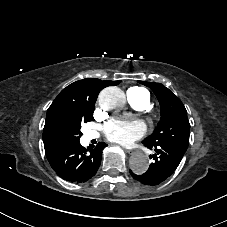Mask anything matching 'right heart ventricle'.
<instances>
[{
    "label": "right heart ventricle",
    "instance_id": "obj_1",
    "mask_svg": "<svg viewBox=\"0 0 227 227\" xmlns=\"http://www.w3.org/2000/svg\"><path fill=\"white\" fill-rule=\"evenodd\" d=\"M127 93H132L133 95H135L137 97H143L146 100V103L147 104L149 103V96L145 92H142L136 88H129L127 90Z\"/></svg>",
    "mask_w": 227,
    "mask_h": 227
}]
</instances>
